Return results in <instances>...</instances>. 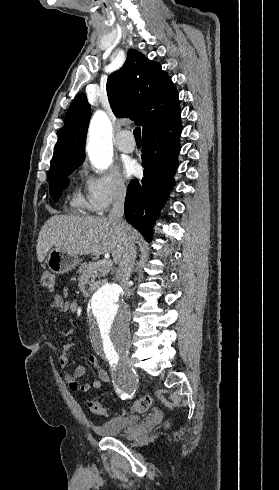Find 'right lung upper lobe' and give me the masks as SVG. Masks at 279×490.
<instances>
[{"label":"right lung upper lobe","instance_id":"right-lung-upper-lobe-1","mask_svg":"<svg viewBox=\"0 0 279 490\" xmlns=\"http://www.w3.org/2000/svg\"><path fill=\"white\" fill-rule=\"evenodd\" d=\"M111 108L118 118H130L143 127V136L161 131L180 120L178 92L159 63L130 49L123 67L107 81ZM90 108L86 95L72 101L55 145L50 172L84 161Z\"/></svg>","mask_w":279,"mask_h":490}]
</instances>
